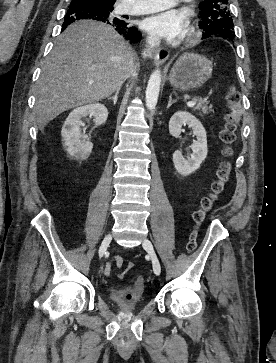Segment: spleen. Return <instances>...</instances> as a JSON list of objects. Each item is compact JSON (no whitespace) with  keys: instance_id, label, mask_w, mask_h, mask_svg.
<instances>
[{"instance_id":"1","label":"spleen","mask_w":276,"mask_h":363,"mask_svg":"<svg viewBox=\"0 0 276 363\" xmlns=\"http://www.w3.org/2000/svg\"><path fill=\"white\" fill-rule=\"evenodd\" d=\"M241 115H242V112L240 110V105L239 104H235L234 105V108L232 109V119L234 121H239Z\"/></svg>"}]
</instances>
